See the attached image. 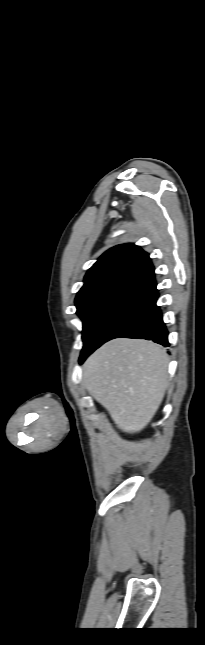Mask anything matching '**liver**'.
<instances>
[{
	"label": "liver",
	"mask_w": 205,
	"mask_h": 645,
	"mask_svg": "<svg viewBox=\"0 0 205 645\" xmlns=\"http://www.w3.org/2000/svg\"><path fill=\"white\" fill-rule=\"evenodd\" d=\"M168 355L147 340H111L83 365L86 389L125 433L144 429L154 417L168 384Z\"/></svg>",
	"instance_id": "obj_1"
}]
</instances>
